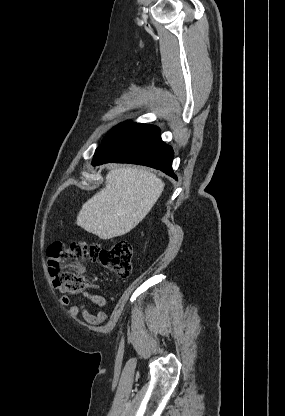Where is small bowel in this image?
Segmentation results:
<instances>
[{"label":"small bowel","instance_id":"1","mask_svg":"<svg viewBox=\"0 0 285 416\" xmlns=\"http://www.w3.org/2000/svg\"><path fill=\"white\" fill-rule=\"evenodd\" d=\"M82 296L91 301L93 304L98 306L99 308H105L107 306V300L104 296L99 294H94L89 291H83ZM60 303L62 305H69L71 303V299L68 295H65L61 298ZM68 314L73 318H79L82 321L88 323L92 326H99L104 323L107 319V314L103 310H99L96 313H91L87 307L82 304H74L68 308Z\"/></svg>","mask_w":285,"mask_h":416}]
</instances>
